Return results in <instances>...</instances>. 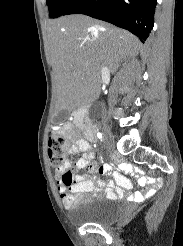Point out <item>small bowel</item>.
Returning <instances> with one entry per match:
<instances>
[{"label": "small bowel", "instance_id": "1", "mask_svg": "<svg viewBox=\"0 0 183 246\" xmlns=\"http://www.w3.org/2000/svg\"><path fill=\"white\" fill-rule=\"evenodd\" d=\"M67 137L69 138V136ZM80 152L83 153V157L75 164H71L70 161H67L62 168L54 171L56 186L60 192L63 203L67 208L73 207L81 200V196L85 193H94L96 191L104 190L106 196L110 199L125 197L129 200L141 201L144 198H151L152 194L155 192L156 186L152 184L149 174H142L138 178V187L143 190L134 195L128 192L125 193V191L131 189L130 181L118 172H112V167L109 164L98 165L97 163L92 162L94 154L90 151V144L87 139H78L68 148V153L70 155H75ZM79 169H85L87 173L73 172L78 171ZM118 170H126V174H133L132 178H137V175L135 174L136 165H118ZM70 171L72 173H67ZM96 173H100L105 177L112 176L114 181L108 180V183L105 184L103 180H98L97 186H95L94 180ZM65 178L73 179L68 183Z\"/></svg>", "mask_w": 183, "mask_h": 246}]
</instances>
